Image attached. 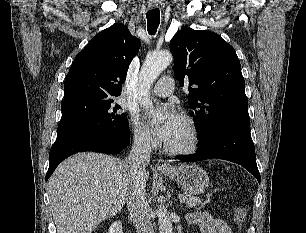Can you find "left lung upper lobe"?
<instances>
[{"label":"left lung upper lobe","mask_w":306,"mask_h":233,"mask_svg":"<svg viewBox=\"0 0 306 233\" xmlns=\"http://www.w3.org/2000/svg\"><path fill=\"white\" fill-rule=\"evenodd\" d=\"M170 50L180 85L189 81L198 139L219 128L250 126L245 82L231 45L214 32L183 27L170 41Z\"/></svg>","instance_id":"left-lung-upper-lobe-1"}]
</instances>
